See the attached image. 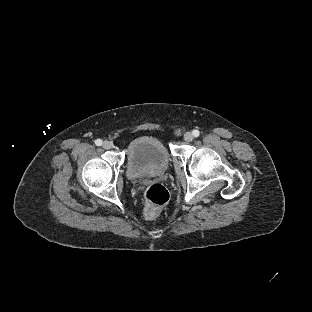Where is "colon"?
<instances>
[{"instance_id": "5ec220e1", "label": "colon", "mask_w": 312, "mask_h": 312, "mask_svg": "<svg viewBox=\"0 0 312 312\" xmlns=\"http://www.w3.org/2000/svg\"><path fill=\"white\" fill-rule=\"evenodd\" d=\"M145 199V215L147 217L156 216L160 209L167 203L169 199V193L164 186L158 183H154L146 188Z\"/></svg>"}]
</instances>
